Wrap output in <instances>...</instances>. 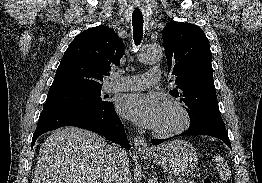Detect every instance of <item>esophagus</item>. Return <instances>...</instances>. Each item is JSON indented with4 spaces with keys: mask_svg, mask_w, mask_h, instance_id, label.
Returning a JSON list of instances; mask_svg holds the SVG:
<instances>
[{
    "mask_svg": "<svg viewBox=\"0 0 262 183\" xmlns=\"http://www.w3.org/2000/svg\"><path fill=\"white\" fill-rule=\"evenodd\" d=\"M134 146L138 151H141V152H150L151 151L146 139L143 136L135 137Z\"/></svg>",
    "mask_w": 262,
    "mask_h": 183,
    "instance_id": "1",
    "label": "esophagus"
}]
</instances>
